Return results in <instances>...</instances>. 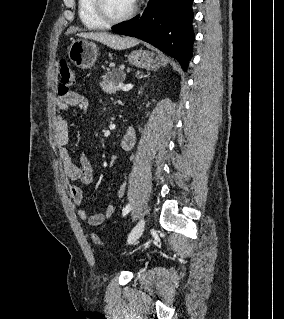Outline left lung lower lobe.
Instances as JSON below:
<instances>
[{
    "mask_svg": "<svg viewBox=\"0 0 284 319\" xmlns=\"http://www.w3.org/2000/svg\"><path fill=\"white\" fill-rule=\"evenodd\" d=\"M192 2L193 0H149L142 14L114 26L112 30L154 45L176 58L186 71L194 42Z\"/></svg>",
    "mask_w": 284,
    "mask_h": 319,
    "instance_id": "obj_1",
    "label": "left lung lower lobe"
}]
</instances>
